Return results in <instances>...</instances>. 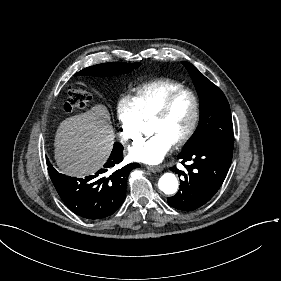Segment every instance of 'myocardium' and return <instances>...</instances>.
Listing matches in <instances>:
<instances>
[{
  "instance_id": "obj_1",
  "label": "myocardium",
  "mask_w": 281,
  "mask_h": 281,
  "mask_svg": "<svg viewBox=\"0 0 281 281\" xmlns=\"http://www.w3.org/2000/svg\"><path fill=\"white\" fill-rule=\"evenodd\" d=\"M183 95H188L193 103V113H192V118L191 122L186 130V132L177 140L172 142V145L174 146H182L185 143H187L192 136L194 135L198 122H199V117H200V105H199V100L197 96L195 95L194 92H192L189 89H182L177 92H174L170 96H168L162 103L161 105L152 113H150L144 120L147 122L149 120H157L162 118L172 103L179 97Z\"/></svg>"
}]
</instances>
